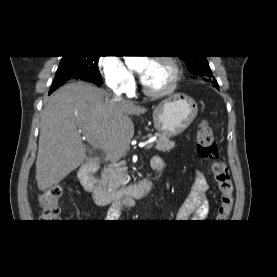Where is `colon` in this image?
Wrapping results in <instances>:
<instances>
[{
  "mask_svg": "<svg viewBox=\"0 0 277 277\" xmlns=\"http://www.w3.org/2000/svg\"><path fill=\"white\" fill-rule=\"evenodd\" d=\"M196 142L198 154L210 163L212 176L219 191L218 218L228 219L234 203V185L226 163L220 158L214 132L208 122L201 121L198 124ZM61 195L62 188L59 185L51 186L40 195L39 204L43 222H58L61 213L59 204Z\"/></svg>",
  "mask_w": 277,
  "mask_h": 277,
  "instance_id": "obj_1",
  "label": "colon"
}]
</instances>
